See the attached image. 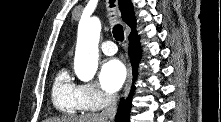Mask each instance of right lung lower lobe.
Listing matches in <instances>:
<instances>
[{"label": "right lung lower lobe", "mask_w": 221, "mask_h": 122, "mask_svg": "<svg viewBox=\"0 0 221 122\" xmlns=\"http://www.w3.org/2000/svg\"><path fill=\"white\" fill-rule=\"evenodd\" d=\"M129 41H130L129 54L133 69V83H134L137 77V65L141 54V49L139 48V39L135 31L130 33ZM133 94H134V84L132 85L129 97L125 101L124 99H121L120 101V104L118 106V111L115 116L116 122H129V115H130Z\"/></svg>", "instance_id": "right-lung-lower-lobe-1"}]
</instances>
